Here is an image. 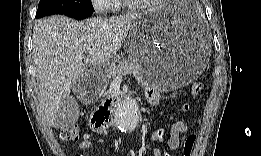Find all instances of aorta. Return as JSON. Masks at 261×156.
<instances>
[{
    "mask_svg": "<svg viewBox=\"0 0 261 156\" xmlns=\"http://www.w3.org/2000/svg\"><path fill=\"white\" fill-rule=\"evenodd\" d=\"M140 121L139 107L134 99L123 100L115 112V124L122 133H133Z\"/></svg>",
    "mask_w": 261,
    "mask_h": 156,
    "instance_id": "762f6f07",
    "label": "aorta"
}]
</instances>
